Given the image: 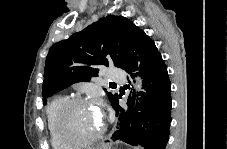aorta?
Instances as JSON below:
<instances>
[{
	"mask_svg": "<svg viewBox=\"0 0 227 149\" xmlns=\"http://www.w3.org/2000/svg\"><path fill=\"white\" fill-rule=\"evenodd\" d=\"M137 88H138V89L141 88V83H137Z\"/></svg>",
	"mask_w": 227,
	"mask_h": 149,
	"instance_id": "obj_1",
	"label": "aorta"
}]
</instances>
